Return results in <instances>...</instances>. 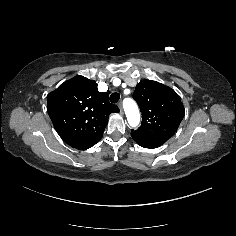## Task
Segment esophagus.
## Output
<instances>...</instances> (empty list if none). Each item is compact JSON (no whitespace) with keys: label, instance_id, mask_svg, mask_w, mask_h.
<instances>
[{"label":"esophagus","instance_id":"obj_1","mask_svg":"<svg viewBox=\"0 0 236 236\" xmlns=\"http://www.w3.org/2000/svg\"><path fill=\"white\" fill-rule=\"evenodd\" d=\"M120 114H123L122 103H119Z\"/></svg>","mask_w":236,"mask_h":236}]
</instances>
